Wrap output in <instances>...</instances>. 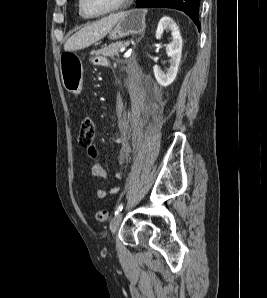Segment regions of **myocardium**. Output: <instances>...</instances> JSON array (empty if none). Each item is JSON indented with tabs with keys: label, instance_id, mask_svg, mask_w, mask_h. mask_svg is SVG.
<instances>
[{
	"label": "myocardium",
	"instance_id": "1",
	"mask_svg": "<svg viewBox=\"0 0 267 298\" xmlns=\"http://www.w3.org/2000/svg\"><path fill=\"white\" fill-rule=\"evenodd\" d=\"M132 0H120V2L111 10L103 12V13H99V14H91L88 13L85 8H84V4H83V0H79V10L81 11V13L88 18H100V17H104V16H108L111 14H115L118 12H121L122 10H124L131 2Z\"/></svg>",
	"mask_w": 267,
	"mask_h": 298
}]
</instances>
